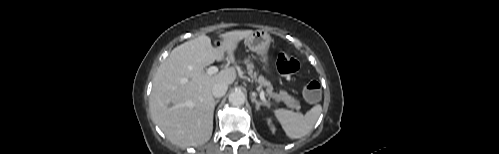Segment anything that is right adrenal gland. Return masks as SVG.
Segmentation results:
<instances>
[{"mask_svg": "<svg viewBox=\"0 0 499 154\" xmlns=\"http://www.w3.org/2000/svg\"><path fill=\"white\" fill-rule=\"evenodd\" d=\"M218 102H219V99H217V100L215 101V104H217Z\"/></svg>", "mask_w": 499, "mask_h": 154, "instance_id": "1", "label": "right adrenal gland"}]
</instances>
